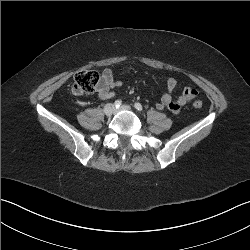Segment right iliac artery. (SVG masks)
Instances as JSON below:
<instances>
[{
  "instance_id": "right-iliac-artery-1",
  "label": "right iliac artery",
  "mask_w": 250,
  "mask_h": 250,
  "mask_svg": "<svg viewBox=\"0 0 250 250\" xmlns=\"http://www.w3.org/2000/svg\"><path fill=\"white\" fill-rule=\"evenodd\" d=\"M121 105H122V101H121V100H116V101L114 102V106H115L116 108H119Z\"/></svg>"
}]
</instances>
